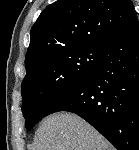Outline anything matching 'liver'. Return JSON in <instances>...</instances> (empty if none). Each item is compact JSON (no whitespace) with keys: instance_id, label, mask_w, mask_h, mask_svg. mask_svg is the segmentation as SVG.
<instances>
[{"instance_id":"liver-1","label":"liver","mask_w":139,"mask_h":150,"mask_svg":"<svg viewBox=\"0 0 139 150\" xmlns=\"http://www.w3.org/2000/svg\"><path fill=\"white\" fill-rule=\"evenodd\" d=\"M35 150H113V147L79 116L56 113L41 122Z\"/></svg>"}]
</instances>
